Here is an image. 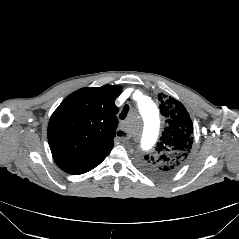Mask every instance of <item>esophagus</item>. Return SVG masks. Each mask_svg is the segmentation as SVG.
Wrapping results in <instances>:
<instances>
[{"label":"esophagus","mask_w":239,"mask_h":239,"mask_svg":"<svg viewBox=\"0 0 239 239\" xmlns=\"http://www.w3.org/2000/svg\"><path fill=\"white\" fill-rule=\"evenodd\" d=\"M116 136L120 141H126L129 138L127 135V131L123 128H118L116 130Z\"/></svg>","instance_id":"1"}]
</instances>
